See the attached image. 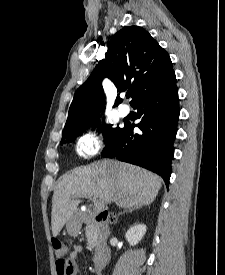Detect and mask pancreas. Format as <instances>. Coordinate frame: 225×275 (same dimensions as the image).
Wrapping results in <instances>:
<instances>
[{"mask_svg":"<svg viewBox=\"0 0 225 275\" xmlns=\"http://www.w3.org/2000/svg\"><path fill=\"white\" fill-rule=\"evenodd\" d=\"M97 225L95 223H92L91 225H88L86 227V237L88 241V249L92 250L97 242Z\"/></svg>","mask_w":225,"mask_h":275,"instance_id":"1","label":"pancreas"}]
</instances>
